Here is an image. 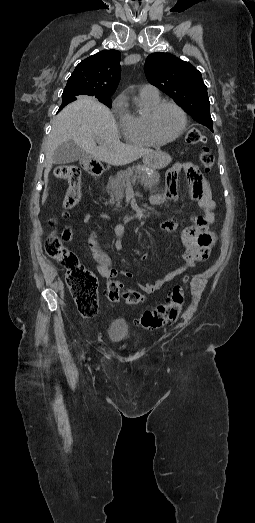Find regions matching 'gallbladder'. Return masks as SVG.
Returning a JSON list of instances; mask_svg holds the SVG:
<instances>
[{
    "label": "gallbladder",
    "instance_id": "obj_1",
    "mask_svg": "<svg viewBox=\"0 0 255 523\" xmlns=\"http://www.w3.org/2000/svg\"><path fill=\"white\" fill-rule=\"evenodd\" d=\"M89 154H86L82 148H79L75 142H62L53 154L55 164H71L77 160H89Z\"/></svg>",
    "mask_w": 255,
    "mask_h": 523
}]
</instances>
